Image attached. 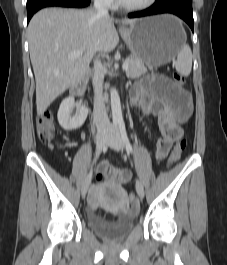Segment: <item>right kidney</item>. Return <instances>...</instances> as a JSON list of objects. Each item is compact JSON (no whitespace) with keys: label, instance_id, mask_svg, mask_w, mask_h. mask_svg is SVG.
Instances as JSON below:
<instances>
[{"label":"right kidney","instance_id":"obj_1","mask_svg":"<svg viewBox=\"0 0 227 265\" xmlns=\"http://www.w3.org/2000/svg\"><path fill=\"white\" fill-rule=\"evenodd\" d=\"M75 107V100L73 97L65 98L60 104L58 110V122L60 126L67 131L75 130L80 128L88 115V108L86 106H77L78 115L75 117L71 116V111Z\"/></svg>","mask_w":227,"mask_h":265}]
</instances>
